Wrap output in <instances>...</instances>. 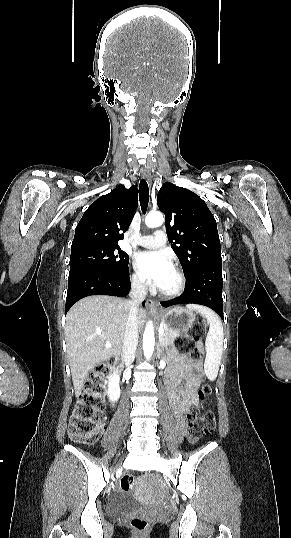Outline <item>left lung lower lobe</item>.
Instances as JSON below:
<instances>
[{"label": "left lung lower lobe", "instance_id": "0a47b994", "mask_svg": "<svg viewBox=\"0 0 291 538\" xmlns=\"http://www.w3.org/2000/svg\"><path fill=\"white\" fill-rule=\"evenodd\" d=\"M187 278L188 284L180 297L160 304L163 307L177 304H200L213 309L224 320L222 263L200 267Z\"/></svg>", "mask_w": 291, "mask_h": 538}]
</instances>
